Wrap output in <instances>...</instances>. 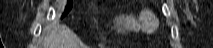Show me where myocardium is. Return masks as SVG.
I'll use <instances>...</instances> for the list:
<instances>
[{
    "mask_svg": "<svg viewBox=\"0 0 213 48\" xmlns=\"http://www.w3.org/2000/svg\"><path fill=\"white\" fill-rule=\"evenodd\" d=\"M140 21H141V24H142L144 30L147 32L154 31L158 26V21H157L155 15L149 10L142 12V14L140 16Z\"/></svg>",
    "mask_w": 213,
    "mask_h": 48,
    "instance_id": "myocardium-1",
    "label": "myocardium"
}]
</instances>
